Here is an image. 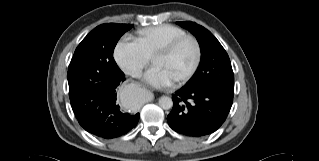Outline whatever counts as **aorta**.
<instances>
[{"label": "aorta", "mask_w": 319, "mask_h": 161, "mask_svg": "<svg viewBox=\"0 0 319 161\" xmlns=\"http://www.w3.org/2000/svg\"><path fill=\"white\" fill-rule=\"evenodd\" d=\"M159 106L164 109V110H168L171 109L173 106V101L172 98L168 97V96H162L159 99Z\"/></svg>", "instance_id": "762f6f07"}]
</instances>
